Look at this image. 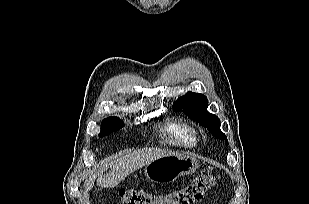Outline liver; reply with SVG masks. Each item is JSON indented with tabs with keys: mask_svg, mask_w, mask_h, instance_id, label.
Listing matches in <instances>:
<instances>
[{
	"mask_svg": "<svg viewBox=\"0 0 309 204\" xmlns=\"http://www.w3.org/2000/svg\"><path fill=\"white\" fill-rule=\"evenodd\" d=\"M172 151L159 148H146L134 151L125 156L117 158L110 163V172L103 174L100 170H92L88 179L84 183L86 191L94 187L96 178L97 184L104 188H113L119 185L129 174L142 168L150 162L168 155H174Z\"/></svg>",
	"mask_w": 309,
	"mask_h": 204,
	"instance_id": "6515ba94",
	"label": "liver"
}]
</instances>
